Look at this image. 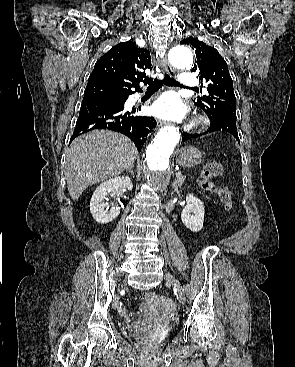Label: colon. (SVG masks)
<instances>
[{
    "instance_id": "5ec220e1",
    "label": "colon",
    "mask_w": 295,
    "mask_h": 367,
    "mask_svg": "<svg viewBox=\"0 0 295 367\" xmlns=\"http://www.w3.org/2000/svg\"><path fill=\"white\" fill-rule=\"evenodd\" d=\"M223 172V166L219 162H211L206 164L201 172L200 176V187L204 191L215 192L221 203L224 205L226 210H230L232 207L231 193L228 188L218 186L214 179L221 175ZM152 293L145 292L142 297L144 299L151 298Z\"/></svg>"
}]
</instances>
